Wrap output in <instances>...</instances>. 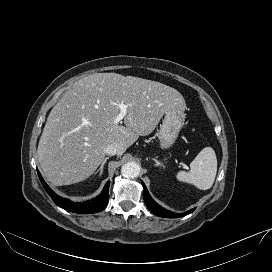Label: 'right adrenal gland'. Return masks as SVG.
Masks as SVG:
<instances>
[{"label": "right adrenal gland", "instance_id": "right-adrenal-gland-1", "mask_svg": "<svg viewBox=\"0 0 272 272\" xmlns=\"http://www.w3.org/2000/svg\"><path fill=\"white\" fill-rule=\"evenodd\" d=\"M108 159H109V157H105V159L103 160V162H102L101 166L99 167V169L96 171V173H95V174L99 173V176H101V175H102L104 165H105V163L107 162V160H108Z\"/></svg>", "mask_w": 272, "mask_h": 272}]
</instances>
